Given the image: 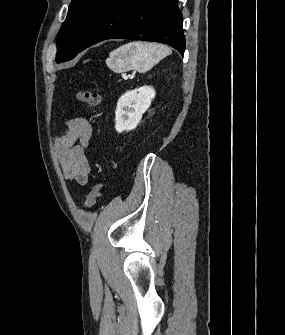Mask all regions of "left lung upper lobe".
<instances>
[{"instance_id": "1", "label": "left lung upper lobe", "mask_w": 285, "mask_h": 335, "mask_svg": "<svg viewBox=\"0 0 285 335\" xmlns=\"http://www.w3.org/2000/svg\"><path fill=\"white\" fill-rule=\"evenodd\" d=\"M110 0H72L59 31L56 62L73 59L94 20Z\"/></svg>"}]
</instances>
